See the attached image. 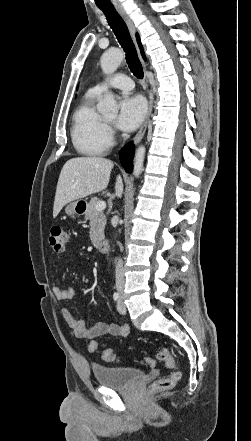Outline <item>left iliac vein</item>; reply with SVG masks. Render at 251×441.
I'll list each match as a JSON object with an SVG mask.
<instances>
[{
	"mask_svg": "<svg viewBox=\"0 0 251 441\" xmlns=\"http://www.w3.org/2000/svg\"><path fill=\"white\" fill-rule=\"evenodd\" d=\"M117 310L120 314H126V306L124 304L123 295L121 294L120 299L117 302Z\"/></svg>",
	"mask_w": 251,
	"mask_h": 441,
	"instance_id": "left-iliac-vein-1",
	"label": "left iliac vein"
}]
</instances>
